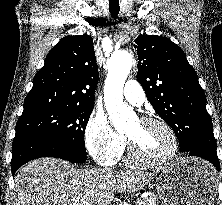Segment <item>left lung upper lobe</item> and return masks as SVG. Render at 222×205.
I'll use <instances>...</instances> for the list:
<instances>
[{
    "instance_id": "obj_1",
    "label": "left lung upper lobe",
    "mask_w": 222,
    "mask_h": 205,
    "mask_svg": "<svg viewBox=\"0 0 222 205\" xmlns=\"http://www.w3.org/2000/svg\"><path fill=\"white\" fill-rule=\"evenodd\" d=\"M137 80L157 114L174 130L181 152H216L206 96L185 53L170 39L141 35L135 39Z\"/></svg>"
}]
</instances>
